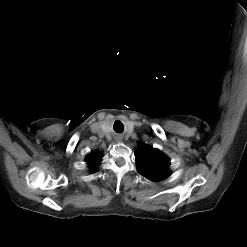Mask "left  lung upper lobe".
<instances>
[{"label":"left lung upper lobe","mask_w":247,"mask_h":247,"mask_svg":"<svg viewBox=\"0 0 247 247\" xmlns=\"http://www.w3.org/2000/svg\"><path fill=\"white\" fill-rule=\"evenodd\" d=\"M138 172L152 181H160L170 175L169 159L151 146H139L135 150Z\"/></svg>","instance_id":"left-lung-upper-lobe-1"}]
</instances>
